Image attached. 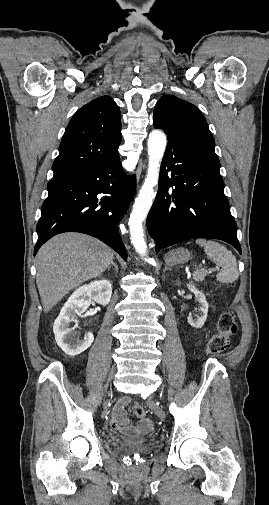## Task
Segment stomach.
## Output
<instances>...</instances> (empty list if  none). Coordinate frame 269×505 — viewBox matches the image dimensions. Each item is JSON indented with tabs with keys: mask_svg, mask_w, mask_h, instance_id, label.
I'll use <instances>...</instances> for the list:
<instances>
[{
	"mask_svg": "<svg viewBox=\"0 0 269 505\" xmlns=\"http://www.w3.org/2000/svg\"><path fill=\"white\" fill-rule=\"evenodd\" d=\"M189 259L190 252L185 248H178L176 250L170 251L165 256V262L170 266L186 263L189 261Z\"/></svg>",
	"mask_w": 269,
	"mask_h": 505,
	"instance_id": "1",
	"label": "stomach"
}]
</instances>
